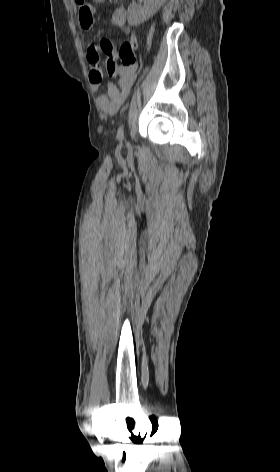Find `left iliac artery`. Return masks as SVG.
Returning a JSON list of instances; mask_svg holds the SVG:
<instances>
[{"label":"left iliac artery","mask_w":280,"mask_h":472,"mask_svg":"<svg viewBox=\"0 0 280 472\" xmlns=\"http://www.w3.org/2000/svg\"><path fill=\"white\" fill-rule=\"evenodd\" d=\"M117 138L118 140L122 141L124 139V125H120L117 131Z\"/></svg>","instance_id":"left-iliac-artery-1"}]
</instances>
